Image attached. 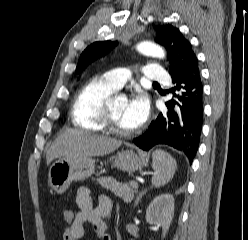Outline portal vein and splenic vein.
I'll return each mask as SVG.
<instances>
[{
	"label": "portal vein and splenic vein",
	"instance_id": "1",
	"mask_svg": "<svg viewBox=\"0 0 248 240\" xmlns=\"http://www.w3.org/2000/svg\"><path fill=\"white\" fill-rule=\"evenodd\" d=\"M130 185H132L134 188H138V183L136 181H131Z\"/></svg>",
	"mask_w": 248,
	"mask_h": 240
}]
</instances>
